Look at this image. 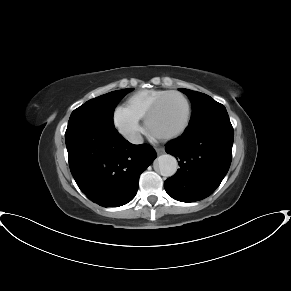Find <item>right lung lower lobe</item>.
Returning a JSON list of instances; mask_svg holds the SVG:
<instances>
[{"instance_id":"right-lung-lower-lobe-1","label":"right lung lower lobe","mask_w":291,"mask_h":291,"mask_svg":"<svg viewBox=\"0 0 291 291\" xmlns=\"http://www.w3.org/2000/svg\"><path fill=\"white\" fill-rule=\"evenodd\" d=\"M71 173L94 203L118 207L136 195L140 174L156 158L146 144L133 145L101 123L73 122L65 133Z\"/></svg>"}]
</instances>
